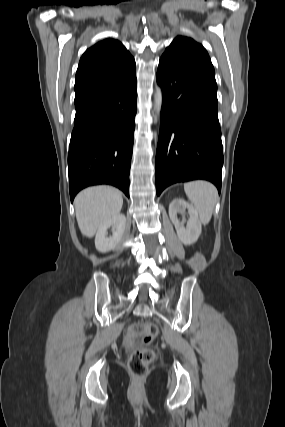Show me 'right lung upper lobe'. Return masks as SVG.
Here are the masks:
<instances>
[{
    "label": "right lung upper lobe",
    "mask_w": 285,
    "mask_h": 427,
    "mask_svg": "<svg viewBox=\"0 0 285 427\" xmlns=\"http://www.w3.org/2000/svg\"><path fill=\"white\" fill-rule=\"evenodd\" d=\"M135 72V60L117 40L108 38L85 51L75 79V99Z\"/></svg>",
    "instance_id": "obj_1"
}]
</instances>
